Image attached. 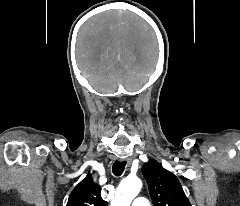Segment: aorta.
Masks as SVG:
<instances>
[{
    "label": "aorta",
    "mask_w": 240,
    "mask_h": 206,
    "mask_svg": "<svg viewBox=\"0 0 240 206\" xmlns=\"http://www.w3.org/2000/svg\"><path fill=\"white\" fill-rule=\"evenodd\" d=\"M141 188L142 181L137 177H128L122 180L116 189L115 198L112 200L111 206H130Z\"/></svg>",
    "instance_id": "1"
}]
</instances>
